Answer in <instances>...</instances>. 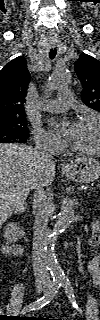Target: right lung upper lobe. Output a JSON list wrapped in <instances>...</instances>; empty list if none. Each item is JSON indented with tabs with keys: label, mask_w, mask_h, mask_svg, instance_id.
Listing matches in <instances>:
<instances>
[{
	"label": "right lung upper lobe",
	"mask_w": 100,
	"mask_h": 320,
	"mask_svg": "<svg viewBox=\"0 0 100 320\" xmlns=\"http://www.w3.org/2000/svg\"><path fill=\"white\" fill-rule=\"evenodd\" d=\"M30 74L26 59L17 57L0 71V119L25 116L23 104Z\"/></svg>",
	"instance_id": "1"
}]
</instances>
